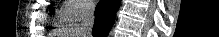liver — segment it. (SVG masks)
Segmentation results:
<instances>
[{
  "label": "liver",
  "mask_w": 219,
  "mask_h": 37,
  "mask_svg": "<svg viewBox=\"0 0 219 37\" xmlns=\"http://www.w3.org/2000/svg\"><path fill=\"white\" fill-rule=\"evenodd\" d=\"M66 34H70V35H77V32L76 31H72V33H68V31L65 32ZM75 37H79V36H75Z\"/></svg>",
  "instance_id": "6515ba94"
}]
</instances>
